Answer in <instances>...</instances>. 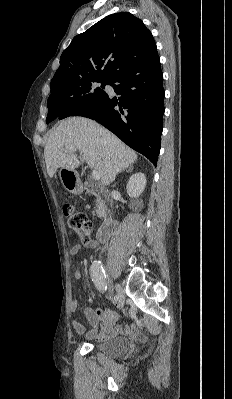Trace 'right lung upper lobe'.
<instances>
[{"instance_id": "right-lung-upper-lobe-1", "label": "right lung upper lobe", "mask_w": 232, "mask_h": 399, "mask_svg": "<svg viewBox=\"0 0 232 399\" xmlns=\"http://www.w3.org/2000/svg\"><path fill=\"white\" fill-rule=\"evenodd\" d=\"M156 50L154 38L141 19L128 12L108 15L75 36L63 51L51 81V95L82 83L110 79Z\"/></svg>"}]
</instances>
